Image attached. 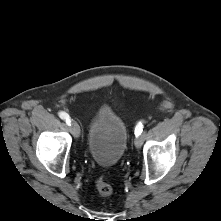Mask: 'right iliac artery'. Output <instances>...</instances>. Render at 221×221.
I'll return each instance as SVG.
<instances>
[{
	"instance_id": "right-iliac-artery-1",
	"label": "right iliac artery",
	"mask_w": 221,
	"mask_h": 221,
	"mask_svg": "<svg viewBox=\"0 0 221 221\" xmlns=\"http://www.w3.org/2000/svg\"><path fill=\"white\" fill-rule=\"evenodd\" d=\"M59 117L61 119L65 120L67 122V124H70V122H71L70 121V116L67 113L61 111V112H59Z\"/></svg>"
}]
</instances>
